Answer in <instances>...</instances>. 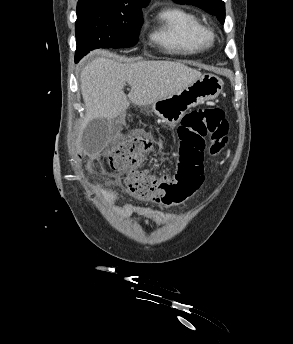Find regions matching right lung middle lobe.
I'll return each instance as SVG.
<instances>
[{
    "mask_svg": "<svg viewBox=\"0 0 293 344\" xmlns=\"http://www.w3.org/2000/svg\"><path fill=\"white\" fill-rule=\"evenodd\" d=\"M143 18L139 8L99 1L77 4L75 62L96 48H128L137 43Z\"/></svg>",
    "mask_w": 293,
    "mask_h": 344,
    "instance_id": "obj_1",
    "label": "right lung middle lobe"
}]
</instances>
